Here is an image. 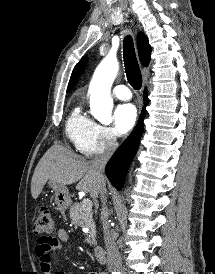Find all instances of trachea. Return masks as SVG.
<instances>
[{
	"mask_svg": "<svg viewBox=\"0 0 215 274\" xmlns=\"http://www.w3.org/2000/svg\"><path fill=\"white\" fill-rule=\"evenodd\" d=\"M123 55L128 82L134 89L139 90L142 86V76L137 62L133 40L130 35L124 38Z\"/></svg>",
	"mask_w": 215,
	"mask_h": 274,
	"instance_id": "3493384b",
	"label": "trachea"
}]
</instances>
